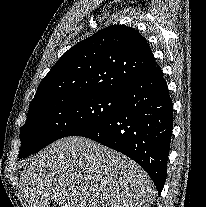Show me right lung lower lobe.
I'll return each mask as SVG.
<instances>
[{"instance_id": "1", "label": "right lung lower lobe", "mask_w": 206, "mask_h": 207, "mask_svg": "<svg viewBox=\"0 0 206 207\" xmlns=\"http://www.w3.org/2000/svg\"><path fill=\"white\" fill-rule=\"evenodd\" d=\"M173 105L161 68L129 86L120 108L76 136L90 138L136 161L160 195L166 180Z\"/></svg>"}]
</instances>
